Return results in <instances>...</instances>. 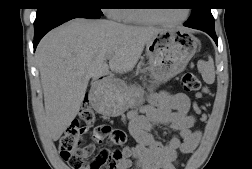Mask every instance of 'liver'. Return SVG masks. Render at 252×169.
<instances>
[{
	"label": "liver",
	"mask_w": 252,
	"mask_h": 169,
	"mask_svg": "<svg viewBox=\"0 0 252 169\" xmlns=\"http://www.w3.org/2000/svg\"><path fill=\"white\" fill-rule=\"evenodd\" d=\"M162 30L76 18L45 35L36 58L49 137L58 140L75 119L91 78L104 76L109 69L116 73L131 71L146 43Z\"/></svg>",
	"instance_id": "6515ba94"
}]
</instances>
